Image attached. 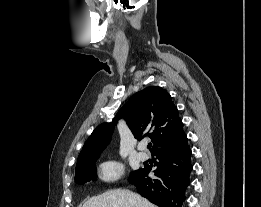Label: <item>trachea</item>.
Listing matches in <instances>:
<instances>
[{
  "mask_svg": "<svg viewBox=\"0 0 261 207\" xmlns=\"http://www.w3.org/2000/svg\"><path fill=\"white\" fill-rule=\"evenodd\" d=\"M151 146H152V144H151V143H149V144H148V146H147V147H148V149H150V148H151Z\"/></svg>",
  "mask_w": 261,
  "mask_h": 207,
  "instance_id": "3493384b",
  "label": "trachea"
}]
</instances>
